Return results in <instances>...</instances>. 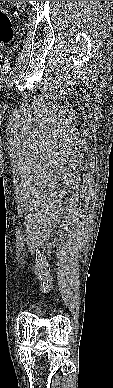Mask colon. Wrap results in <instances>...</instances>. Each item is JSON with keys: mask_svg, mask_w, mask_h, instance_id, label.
I'll use <instances>...</instances> for the list:
<instances>
[{"mask_svg": "<svg viewBox=\"0 0 113 388\" xmlns=\"http://www.w3.org/2000/svg\"><path fill=\"white\" fill-rule=\"evenodd\" d=\"M13 38V27L10 15L7 11L0 9V51L4 45L11 42Z\"/></svg>", "mask_w": 113, "mask_h": 388, "instance_id": "colon-1", "label": "colon"}]
</instances>
